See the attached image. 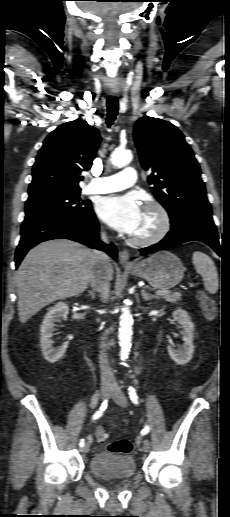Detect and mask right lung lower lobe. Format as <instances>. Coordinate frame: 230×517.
Segmentation results:
<instances>
[{
  "mask_svg": "<svg viewBox=\"0 0 230 517\" xmlns=\"http://www.w3.org/2000/svg\"><path fill=\"white\" fill-rule=\"evenodd\" d=\"M98 231L99 223L93 210L78 214L54 211L28 214L21 225V240L15 253L16 267L32 247L51 239H70L104 250L116 258L115 246L99 241Z\"/></svg>",
  "mask_w": 230,
  "mask_h": 517,
  "instance_id": "98d812e1",
  "label": "right lung lower lobe"
}]
</instances>
